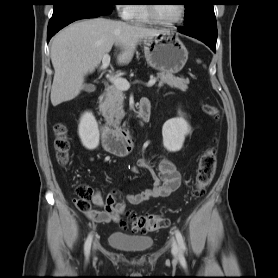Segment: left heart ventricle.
I'll return each instance as SVG.
<instances>
[{"instance_id": "left-heart-ventricle-1", "label": "left heart ventricle", "mask_w": 278, "mask_h": 278, "mask_svg": "<svg viewBox=\"0 0 278 278\" xmlns=\"http://www.w3.org/2000/svg\"><path fill=\"white\" fill-rule=\"evenodd\" d=\"M156 16L164 22H172L180 14V4H164L154 6Z\"/></svg>"}]
</instances>
